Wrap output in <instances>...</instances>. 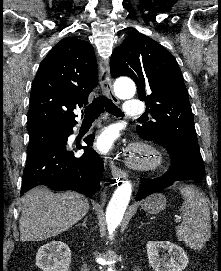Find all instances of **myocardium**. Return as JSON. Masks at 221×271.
<instances>
[{"label":"myocardium","instance_id":"1","mask_svg":"<svg viewBox=\"0 0 221 271\" xmlns=\"http://www.w3.org/2000/svg\"><path fill=\"white\" fill-rule=\"evenodd\" d=\"M135 155L143 157L122 158L120 161L127 165H121V170H159L161 165H165L162 158L158 157L163 150H156V145H139L137 142L133 145ZM133 160V161H132Z\"/></svg>","mask_w":221,"mask_h":271}]
</instances>
